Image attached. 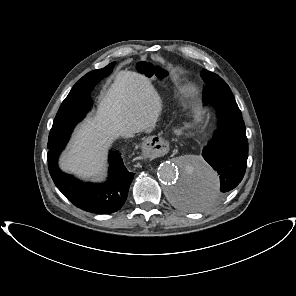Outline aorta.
<instances>
[{"instance_id":"obj_1","label":"aorta","mask_w":296,"mask_h":296,"mask_svg":"<svg viewBox=\"0 0 296 296\" xmlns=\"http://www.w3.org/2000/svg\"><path fill=\"white\" fill-rule=\"evenodd\" d=\"M158 177L166 186L169 202L184 212H197L209 207L220 187L218 174L197 156L184 157L179 165L162 163Z\"/></svg>"}]
</instances>
